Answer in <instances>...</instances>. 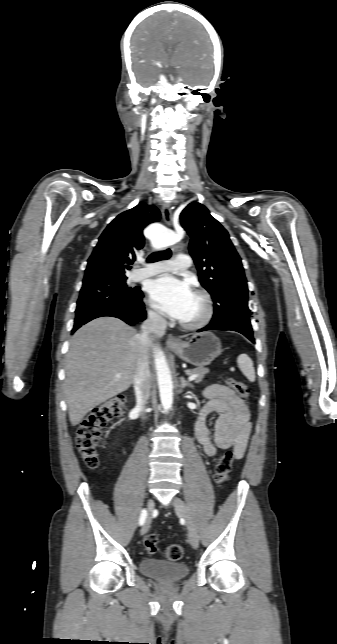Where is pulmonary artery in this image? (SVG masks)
I'll return each instance as SVG.
<instances>
[{"label":"pulmonary artery","instance_id":"e3ab8cb5","mask_svg":"<svg viewBox=\"0 0 337 644\" xmlns=\"http://www.w3.org/2000/svg\"><path fill=\"white\" fill-rule=\"evenodd\" d=\"M191 265V258L187 254H178L173 260H165L157 263L148 264L146 267L135 270L131 279L139 281L157 274L186 269Z\"/></svg>","mask_w":337,"mask_h":644}]
</instances>
